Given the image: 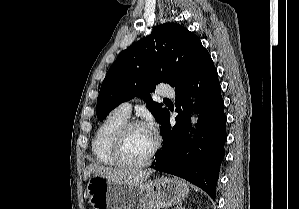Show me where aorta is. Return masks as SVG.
Segmentation results:
<instances>
[{
  "mask_svg": "<svg viewBox=\"0 0 299 209\" xmlns=\"http://www.w3.org/2000/svg\"><path fill=\"white\" fill-rule=\"evenodd\" d=\"M196 120H197V117L195 115H193L191 118L192 123L194 124L196 122Z\"/></svg>",
  "mask_w": 299,
  "mask_h": 209,
  "instance_id": "obj_1",
  "label": "aorta"
}]
</instances>
